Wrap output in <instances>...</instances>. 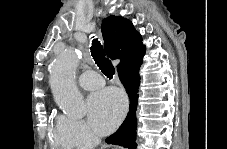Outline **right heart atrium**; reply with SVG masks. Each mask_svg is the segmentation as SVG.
Wrapping results in <instances>:
<instances>
[{
  "instance_id": "1",
  "label": "right heart atrium",
  "mask_w": 227,
  "mask_h": 149,
  "mask_svg": "<svg viewBox=\"0 0 227 149\" xmlns=\"http://www.w3.org/2000/svg\"><path fill=\"white\" fill-rule=\"evenodd\" d=\"M65 139L71 146L86 147L96 144V136L82 120L60 117Z\"/></svg>"
}]
</instances>
